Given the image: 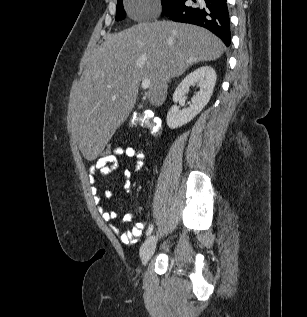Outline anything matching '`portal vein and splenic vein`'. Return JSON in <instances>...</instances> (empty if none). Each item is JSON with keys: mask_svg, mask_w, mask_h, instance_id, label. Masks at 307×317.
<instances>
[{"mask_svg": "<svg viewBox=\"0 0 307 317\" xmlns=\"http://www.w3.org/2000/svg\"><path fill=\"white\" fill-rule=\"evenodd\" d=\"M149 86H150V80L144 79V80L142 81V83H141V87H142L143 89H148Z\"/></svg>", "mask_w": 307, "mask_h": 317, "instance_id": "18ae733b", "label": "portal vein and splenic vein"}]
</instances>
